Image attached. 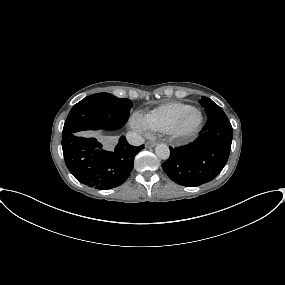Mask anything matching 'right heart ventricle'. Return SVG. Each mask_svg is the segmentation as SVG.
Here are the masks:
<instances>
[{
    "mask_svg": "<svg viewBox=\"0 0 285 285\" xmlns=\"http://www.w3.org/2000/svg\"><path fill=\"white\" fill-rule=\"evenodd\" d=\"M189 108L191 106L186 103L167 102L139 116L137 120L146 131L169 133L181 114Z\"/></svg>",
    "mask_w": 285,
    "mask_h": 285,
    "instance_id": "e07e8e85",
    "label": "right heart ventricle"
}]
</instances>
